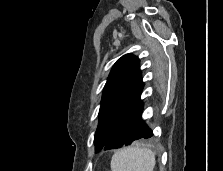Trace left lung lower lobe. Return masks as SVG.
<instances>
[{
	"label": "left lung lower lobe",
	"instance_id": "1",
	"mask_svg": "<svg viewBox=\"0 0 223 171\" xmlns=\"http://www.w3.org/2000/svg\"><path fill=\"white\" fill-rule=\"evenodd\" d=\"M143 102L140 97L124 118L119 122L102 148L105 150L120 148L134 141L148 139L153 136L152 131L141 118ZM97 151V152H98Z\"/></svg>",
	"mask_w": 223,
	"mask_h": 171
}]
</instances>
